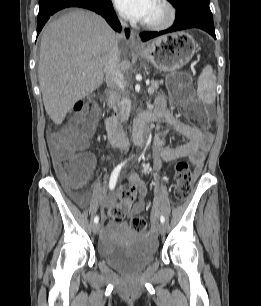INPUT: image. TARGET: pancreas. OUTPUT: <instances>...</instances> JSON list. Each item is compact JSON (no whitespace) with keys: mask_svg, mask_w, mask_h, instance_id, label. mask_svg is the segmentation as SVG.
Masks as SVG:
<instances>
[{"mask_svg":"<svg viewBox=\"0 0 261 306\" xmlns=\"http://www.w3.org/2000/svg\"><path fill=\"white\" fill-rule=\"evenodd\" d=\"M162 83L163 81H152L150 86L151 93L149 94H153L155 91H157ZM130 109H131V101L128 98L122 99V101L119 103V108L118 109L115 108L116 112L118 113V117H121L123 121L128 118Z\"/></svg>","mask_w":261,"mask_h":306,"instance_id":"cf45deb5","label":"pancreas"}]
</instances>
